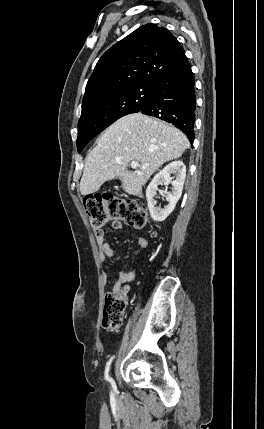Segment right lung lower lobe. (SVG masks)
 I'll return each mask as SVG.
<instances>
[{
	"mask_svg": "<svg viewBox=\"0 0 264 429\" xmlns=\"http://www.w3.org/2000/svg\"><path fill=\"white\" fill-rule=\"evenodd\" d=\"M194 85L193 73L184 55L155 84L152 95L139 112L172 123L193 144L196 110Z\"/></svg>",
	"mask_w": 264,
	"mask_h": 429,
	"instance_id": "obj_1",
	"label": "right lung lower lobe"
}]
</instances>
